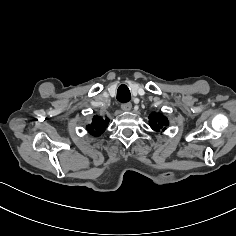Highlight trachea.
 Returning <instances> with one entry per match:
<instances>
[{"label": "trachea", "mask_w": 236, "mask_h": 236, "mask_svg": "<svg viewBox=\"0 0 236 236\" xmlns=\"http://www.w3.org/2000/svg\"><path fill=\"white\" fill-rule=\"evenodd\" d=\"M131 99V94L129 88L122 84L117 90V100L122 103H126Z\"/></svg>", "instance_id": "1"}]
</instances>
